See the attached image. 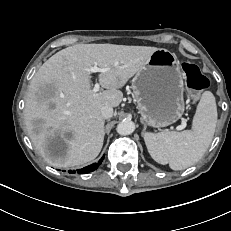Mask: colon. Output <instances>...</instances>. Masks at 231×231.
<instances>
[{
    "instance_id": "colon-1",
    "label": "colon",
    "mask_w": 231,
    "mask_h": 231,
    "mask_svg": "<svg viewBox=\"0 0 231 231\" xmlns=\"http://www.w3.org/2000/svg\"><path fill=\"white\" fill-rule=\"evenodd\" d=\"M182 70L186 76L187 86L191 91L200 92L208 87V79L195 64L185 62L182 64Z\"/></svg>"
}]
</instances>
